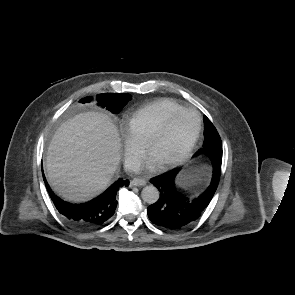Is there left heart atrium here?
Wrapping results in <instances>:
<instances>
[{"mask_svg": "<svg viewBox=\"0 0 295 295\" xmlns=\"http://www.w3.org/2000/svg\"><path fill=\"white\" fill-rule=\"evenodd\" d=\"M156 162L153 159H149L148 162L146 163V168L148 169H153L156 167Z\"/></svg>", "mask_w": 295, "mask_h": 295, "instance_id": "obj_1", "label": "left heart atrium"}]
</instances>
